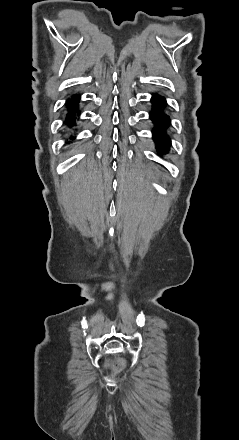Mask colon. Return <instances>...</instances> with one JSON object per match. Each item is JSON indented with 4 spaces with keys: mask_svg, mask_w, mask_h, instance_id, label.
<instances>
[{
    "mask_svg": "<svg viewBox=\"0 0 239 440\" xmlns=\"http://www.w3.org/2000/svg\"><path fill=\"white\" fill-rule=\"evenodd\" d=\"M123 364V361L122 360H119L117 363H116V366H121Z\"/></svg>",
    "mask_w": 239,
    "mask_h": 440,
    "instance_id": "colon-1",
    "label": "colon"
}]
</instances>
